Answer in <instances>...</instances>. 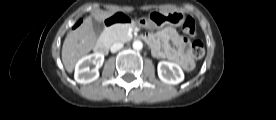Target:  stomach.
Wrapping results in <instances>:
<instances>
[{
    "instance_id": "obj_1",
    "label": "stomach",
    "mask_w": 276,
    "mask_h": 120,
    "mask_svg": "<svg viewBox=\"0 0 276 120\" xmlns=\"http://www.w3.org/2000/svg\"><path fill=\"white\" fill-rule=\"evenodd\" d=\"M185 19V14L180 11H153L149 13L148 17L140 18L137 21V25L147 29H161L166 25L179 27Z\"/></svg>"
}]
</instances>
